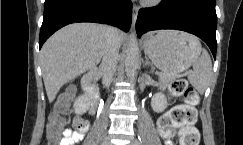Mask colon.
I'll return each mask as SVG.
<instances>
[{
	"label": "colon",
	"mask_w": 243,
	"mask_h": 145,
	"mask_svg": "<svg viewBox=\"0 0 243 145\" xmlns=\"http://www.w3.org/2000/svg\"><path fill=\"white\" fill-rule=\"evenodd\" d=\"M170 92L182 96L185 104L173 107L158 120V130L162 137L171 138L176 129L180 131V145H199L200 135L194 127L196 111L193 105L197 102L196 91L183 78H177L170 84ZM71 93L62 96L56 104L55 111L49 116L47 138L50 145H61V135L65 124L64 114L67 111ZM78 130L85 128L83 120H76Z\"/></svg>",
	"instance_id": "1"
}]
</instances>
